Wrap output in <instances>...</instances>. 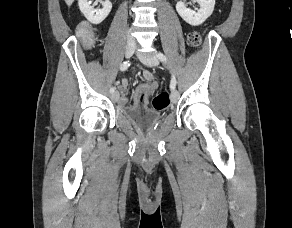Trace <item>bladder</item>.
Returning <instances> with one entry per match:
<instances>
[{"instance_id": "bladder-1", "label": "bladder", "mask_w": 292, "mask_h": 228, "mask_svg": "<svg viewBox=\"0 0 292 228\" xmlns=\"http://www.w3.org/2000/svg\"><path fill=\"white\" fill-rule=\"evenodd\" d=\"M122 115L134 126L141 129H148L154 127L161 119V115L158 111L153 109H124Z\"/></svg>"}]
</instances>
